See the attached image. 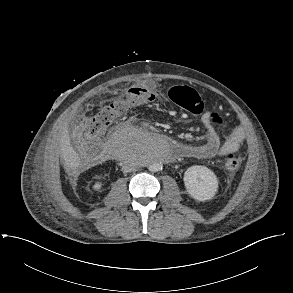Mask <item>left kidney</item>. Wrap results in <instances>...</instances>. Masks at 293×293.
<instances>
[{"label":"left kidney","instance_id":"left-kidney-1","mask_svg":"<svg viewBox=\"0 0 293 293\" xmlns=\"http://www.w3.org/2000/svg\"><path fill=\"white\" fill-rule=\"evenodd\" d=\"M184 184L188 194L198 201L211 200L218 189V179L205 166L194 165L184 173Z\"/></svg>","mask_w":293,"mask_h":293}]
</instances>
